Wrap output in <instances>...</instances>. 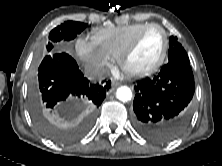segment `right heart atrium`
<instances>
[{
  "instance_id": "obj_1",
  "label": "right heart atrium",
  "mask_w": 222,
  "mask_h": 166,
  "mask_svg": "<svg viewBox=\"0 0 222 166\" xmlns=\"http://www.w3.org/2000/svg\"><path fill=\"white\" fill-rule=\"evenodd\" d=\"M76 47L80 58L88 67L103 71L110 64V57L103 53L92 40L80 38Z\"/></svg>"
}]
</instances>
